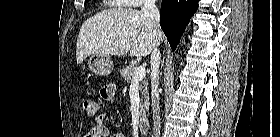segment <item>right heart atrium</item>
Returning a JSON list of instances; mask_svg holds the SVG:
<instances>
[{"label":"right heart atrium","instance_id":"obj_1","mask_svg":"<svg viewBox=\"0 0 280 137\" xmlns=\"http://www.w3.org/2000/svg\"><path fill=\"white\" fill-rule=\"evenodd\" d=\"M136 6H144L146 1L145 0H133Z\"/></svg>","mask_w":280,"mask_h":137}]
</instances>
